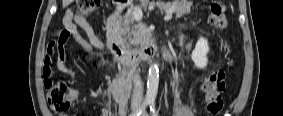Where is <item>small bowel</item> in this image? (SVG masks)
<instances>
[{"instance_id":"small-bowel-1","label":"small bowel","mask_w":283,"mask_h":116,"mask_svg":"<svg viewBox=\"0 0 283 116\" xmlns=\"http://www.w3.org/2000/svg\"><path fill=\"white\" fill-rule=\"evenodd\" d=\"M64 30L61 32L58 42H52L48 45L47 55L45 56L44 75L50 76L52 70L56 67L61 73L67 75L73 84H76L77 77L75 71L67 65L66 56L64 51V45L67 39L71 36L77 42V44L86 51H92L95 49H103L102 42L95 35L92 27L88 23L85 17L75 14L72 10L68 9L63 17ZM79 28L83 29L88 36V41L85 40L80 32ZM63 33L67 34V37L63 36ZM76 96L79 94L78 89L75 90ZM102 105L100 110V116L111 115V108L106 102H99Z\"/></svg>"}]
</instances>
